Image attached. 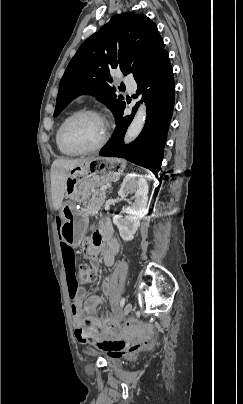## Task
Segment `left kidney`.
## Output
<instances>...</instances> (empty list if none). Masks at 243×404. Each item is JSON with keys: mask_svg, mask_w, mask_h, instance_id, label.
<instances>
[{"mask_svg": "<svg viewBox=\"0 0 243 404\" xmlns=\"http://www.w3.org/2000/svg\"><path fill=\"white\" fill-rule=\"evenodd\" d=\"M126 194H134L131 200L133 198L135 200L128 208H122V212L127 214L126 218H123L122 214L114 216L113 224L117 226L122 240L131 242L140 226V220L147 210L148 184L141 174L132 172V174L125 176L118 196L125 198Z\"/></svg>", "mask_w": 243, "mask_h": 404, "instance_id": "5707ae66", "label": "left kidney"}]
</instances>
